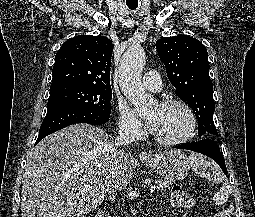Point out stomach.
<instances>
[{
    "label": "stomach",
    "instance_id": "obj_1",
    "mask_svg": "<svg viewBox=\"0 0 255 217\" xmlns=\"http://www.w3.org/2000/svg\"><path fill=\"white\" fill-rule=\"evenodd\" d=\"M142 163L152 168L159 175L170 181L184 179L191 166V161L181 150H167L141 158Z\"/></svg>",
    "mask_w": 255,
    "mask_h": 217
}]
</instances>
